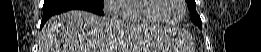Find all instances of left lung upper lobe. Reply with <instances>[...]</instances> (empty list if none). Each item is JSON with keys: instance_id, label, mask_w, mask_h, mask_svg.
Wrapping results in <instances>:
<instances>
[{"instance_id": "5c2ea615", "label": "left lung upper lobe", "mask_w": 261, "mask_h": 52, "mask_svg": "<svg viewBox=\"0 0 261 52\" xmlns=\"http://www.w3.org/2000/svg\"><path fill=\"white\" fill-rule=\"evenodd\" d=\"M186 2L189 7L191 21L195 25H197L199 28H202V22H201L200 16L198 15V13L196 11L195 0H186Z\"/></svg>"}]
</instances>
